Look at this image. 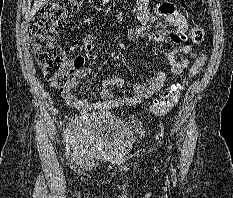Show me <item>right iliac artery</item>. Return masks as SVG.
<instances>
[{
    "mask_svg": "<svg viewBox=\"0 0 233 198\" xmlns=\"http://www.w3.org/2000/svg\"><path fill=\"white\" fill-rule=\"evenodd\" d=\"M66 142L68 141V134H67V130L65 131V136H64Z\"/></svg>",
    "mask_w": 233,
    "mask_h": 198,
    "instance_id": "82829eb1",
    "label": "right iliac artery"
}]
</instances>
